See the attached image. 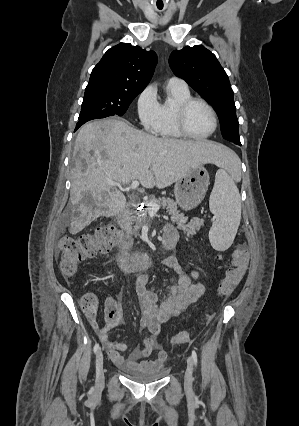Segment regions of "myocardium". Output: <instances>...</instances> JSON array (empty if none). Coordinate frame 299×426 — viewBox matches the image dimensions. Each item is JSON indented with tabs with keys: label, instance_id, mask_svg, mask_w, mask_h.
Wrapping results in <instances>:
<instances>
[{
	"label": "myocardium",
	"instance_id": "myocardium-1",
	"mask_svg": "<svg viewBox=\"0 0 299 426\" xmlns=\"http://www.w3.org/2000/svg\"><path fill=\"white\" fill-rule=\"evenodd\" d=\"M196 103L203 104L210 111L213 118V128L209 133L205 135L193 134L187 127V113L190 107ZM175 120L177 129L182 134V136L196 140H203L209 138L216 132L218 128V116L214 107L208 101L198 97H190L182 101L176 109Z\"/></svg>",
	"mask_w": 299,
	"mask_h": 426
}]
</instances>
